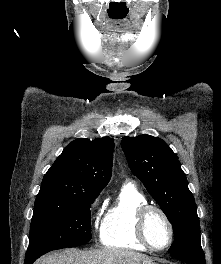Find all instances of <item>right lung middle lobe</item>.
Returning a JSON list of instances; mask_svg holds the SVG:
<instances>
[{
	"label": "right lung middle lobe",
	"instance_id": "dd1d6c3e",
	"mask_svg": "<svg viewBox=\"0 0 221 264\" xmlns=\"http://www.w3.org/2000/svg\"><path fill=\"white\" fill-rule=\"evenodd\" d=\"M98 195L38 194L25 258L90 241V207Z\"/></svg>",
	"mask_w": 221,
	"mask_h": 264
}]
</instances>
